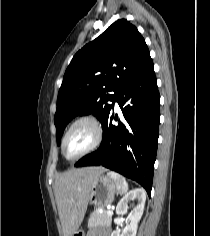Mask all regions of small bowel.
I'll list each match as a JSON object with an SVG mask.
<instances>
[{
	"label": "small bowel",
	"instance_id": "small-bowel-1",
	"mask_svg": "<svg viewBox=\"0 0 210 236\" xmlns=\"http://www.w3.org/2000/svg\"><path fill=\"white\" fill-rule=\"evenodd\" d=\"M89 236H109L108 232H91Z\"/></svg>",
	"mask_w": 210,
	"mask_h": 236
}]
</instances>
